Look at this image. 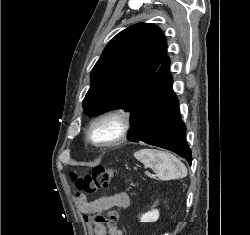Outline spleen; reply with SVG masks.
Masks as SVG:
<instances>
[{"label":"spleen","instance_id":"obj_1","mask_svg":"<svg viewBox=\"0 0 250 235\" xmlns=\"http://www.w3.org/2000/svg\"><path fill=\"white\" fill-rule=\"evenodd\" d=\"M135 158L152 168L159 179L175 180L187 176L186 166L173 154L155 149L135 152Z\"/></svg>","mask_w":250,"mask_h":235}]
</instances>
